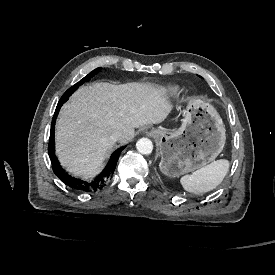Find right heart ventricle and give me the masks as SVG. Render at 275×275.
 Listing matches in <instances>:
<instances>
[{
    "mask_svg": "<svg viewBox=\"0 0 275 275\" xmlns=\"http://www.w3.org/2000/svg\"><path fill=\"white\" fill-rule=\"evenodd\" d=\"M167 92L171 95H174L176 93L175 89H168Z\"/></svg>",
    "mask_w": 275,
    "mask_h": 275,
    "instance_id": "1",
    "label": "right heart ventricle"
}]
</instances>
